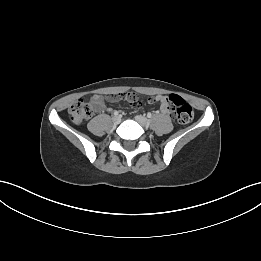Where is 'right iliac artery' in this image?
<instances>
[{"label":"right iliac artery","instance_id":"82829eb1","mask_svg":"<svg viewBox=\"0 0 261 261\" xmlns=\"http://www.w3.org/2000/svg\"><path fill=\"white\" fill-rule=\"evenodd\" d=\"M114 115H115V116L119 115V112L115 111V112H114Z\"/></svg>","mask_w":261,"mask_h":261}]
</instances>
